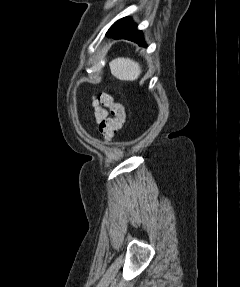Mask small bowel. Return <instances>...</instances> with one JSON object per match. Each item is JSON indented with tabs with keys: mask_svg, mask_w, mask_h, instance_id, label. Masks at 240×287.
I'll return each instance as SVG.
<instances>
[{
	"mask_svg": "<svg viewBox=\"0 0 240 287\" xmlns=\"http://www.w3.org/2000/svg\"><path fill=\"white\" fill-rule=\"evenodd\" d=\"M92 108H93V112H94L95 121L100 126V124L107 119L108 111H107L106 107L102 106L99 103L98 99L95 97H93V99H92Z\"/></svg>",
	"mask_w": 240,
	"mask_h": 287,
	"instance_id": "1",
	"label": "small bowel"
}]
</instances>
